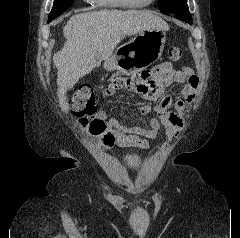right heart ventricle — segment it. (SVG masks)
Instances as JSON below:
<instances>
[{
  "instance_id": "right-heart-ventricle-1",
  "label": "right heart ventricle",
  "mask_w": 240,
  "mask_h": 238,
  "mask_svg": "<svg viewBox=\"0 0 240 238\" xmlns=\"http://www.w3.org/2000/svg\"><path fill=\"white\" fill-rule=\"evenodd\" d=\"M97 5L105 8H123L119 0H93Z\"/></svg>"
}]
</instances>
